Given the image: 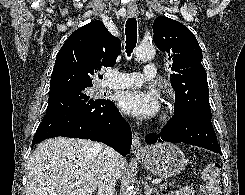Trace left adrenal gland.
Masks as SVG:
<instances>
[{"mask_svg":"<svg viewBox=\"0 0 245 195\" xmlns=\"http://www.w3.org/2000/svg\"><path fill=\"white\" fill-rule=\"evenodd\" d=\"M144 189L145 195H151L152 193H156L157 195H159L158 188L151 186L147 181L145 182Z\"/></svg>","mask_w":245,"mask_h":195,"instance_id":"obj_1","label":"left adrenal gland"}]
</instances>
